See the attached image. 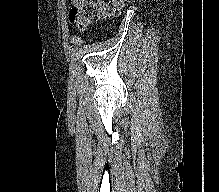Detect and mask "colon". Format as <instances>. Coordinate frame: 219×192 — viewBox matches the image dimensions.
I'll list each match as a JSON object with an SVG mask.
<instances>
[{"mask_svg": "<svg viewBox=\"0 0 219 192\" xmlns=\"http://www.w3.org/2000/svg\"><path fill=\"white\" fill-rule=\"evenodd\" d=\"M131 0H73L69 21L78 30L88 28L95 19L116 16Z\"/></svg>", "mask_w": 219, "mask_h": 192, "instance_id": "1", "label": "colon"}]
</instances>
